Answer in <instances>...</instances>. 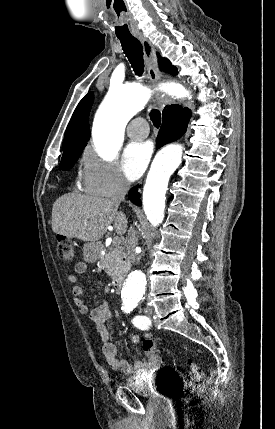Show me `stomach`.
Listing matches in <instances>:
<instances>
[{"mask_svg":"<svg viewBox=\"0 0 275 429\" xmlns=\"http://www.w3.org/2000/svg\"><path fill=\"white\" fill-rule=\"evenodd\" d=\"M83 256L85 261L93 263L100 257V244L97 242H87L83 246Z\"/></svg>","mask_w":275,"mask_h":429,"instance_id":"stomach-1","label":"stomach"}]
</instances>
